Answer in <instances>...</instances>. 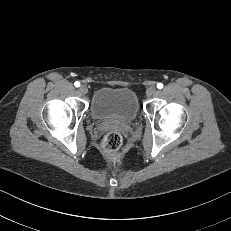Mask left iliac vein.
I'll return each instance as SVG.
<instances>
[{
    "label": "left iliac vein",
    "instance_id": "4c4485c4",
    "mask_svg": "<svg viewBox=\"0 0 231 231\" xmlns=\"http://www.w3.org/2000/svg\"><path fill=\"white\" fill-rule=\"evenodd\" d=\"M157 92V88L155 86H150L147 88L146 90V94L147 96H152V95H155Z\"/></svg>",
    "mask_w": 231,
    "mask_h": 231
}]
</instances>
